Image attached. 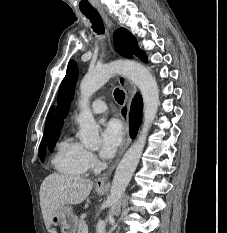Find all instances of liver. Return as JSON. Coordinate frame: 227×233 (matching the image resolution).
<instances>
[{
  "label": "liver",
  "mask_w": 227,
  "mask_h": 233,
  "mask_svg": "<svg viewBox=\"0 0 227 233\" xmlns=\"http://www.w3.org/2000/svg\"><path fill=\"white\" fill-rule=\"evenodd\" d=\"M93 188V182L80 177L58 173L48 175L39 191L41 212L48 231L52 218L66 205H77L86 200Z\"/></svg>",
  "instance_id": "6515ba94"
}]
</instances>
